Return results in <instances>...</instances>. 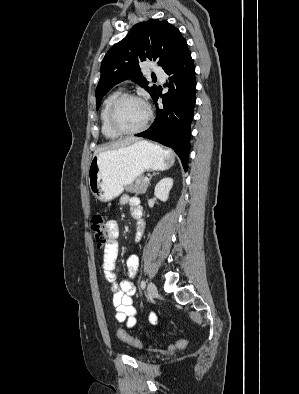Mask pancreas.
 Here are the masks:
<instances>
[{"mask_svg":"<svg viewBox=\"0 0 299 394\" xmlns=\"http://www.w3.org/2000/svg\"><path fill=\"white\" fill-rule=\"evenodd\" d=\"M144 178V176L138 177L135 183L130 184L126 187V191L135 194H144L148 187V182H145Z\"/></svg>","mask_w":299,"mask_h":394,"instance_id":"obj_1","label":"pancreas"}]
</instances>
